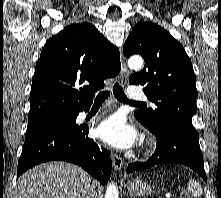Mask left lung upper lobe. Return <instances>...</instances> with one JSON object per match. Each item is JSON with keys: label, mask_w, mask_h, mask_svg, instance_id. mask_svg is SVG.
<instances>
[{"label": "left lung upper lobe", "mask_w": 221, "mask_h": 198, "mask_svg": "<svg viewBox=\"0 0 221 198\" xmlns=\"http://www.w3.org/2000/svg\"><path fill=\"white\" fill-rule=\"evenodd\" d=\"M123 52L145 59L143 70L132 74L129 83L145 85L144 93L157 106L136 111V119L154 131L198 134L192 125L197 112L195 74L183 46L159 25L145 22L134 26Z\"/></svg>", "instance_id": "obj_1"}]
</instances>
